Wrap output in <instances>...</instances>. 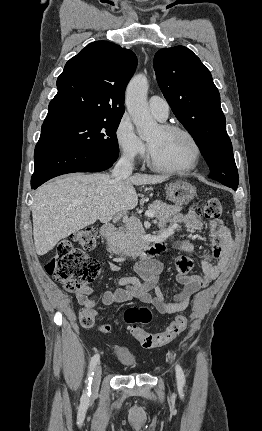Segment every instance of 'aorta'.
Here are the masks:
<instances>
[{"mask_svg": "<svg viewBox=\"0 0 262 431\" xmlns=\"http://www.w3.org/2000/svg\"><path fill=\"white\" fill-rule=\"evenodd\" d=\"M148 81L138 74L129 82L126 90V107L140 137H147L157 128L151 117L147 103Z\"/></svg>", "mask_w": 262, "mask_h": 431, "instance_id": "aorta-1", "label": "aorta"}]
</instances>
